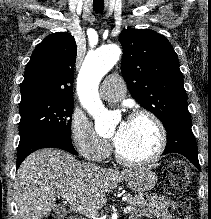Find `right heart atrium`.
<instances>
[{
  "instance_id": "right-heart-atrium-1",
  "label": "right heart atrium",
  "mask_w": 211,
  "mask_h": 219,
  "mask_svg": "<svg viewBox=\"0 0 211 219\" xmlns=\"http://www.w3.org/2000/svg\"><path fill=\"white\" fill-rule=\"evenodd\" d=\"M70 135L75 149L89 161L100 162L110 153L109 144L97 135L89 121L81 115H73Z\"/></svg>"
}]
</instances>
